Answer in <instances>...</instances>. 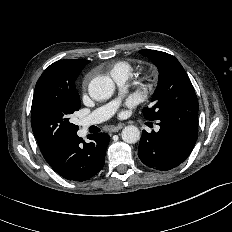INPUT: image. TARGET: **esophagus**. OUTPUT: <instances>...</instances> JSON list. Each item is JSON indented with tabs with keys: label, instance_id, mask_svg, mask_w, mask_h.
Wrapping results in <instances>:
<instances>
[{
	"label": "esophagus",
	"instance_id": "1",
	"mask_svg": "<svg viewBox=\"0 0 232 232\" xmlns=\"http://www.w3.org/2000/svg\"><path fill=\"white\" fill-rule=\"evenodd\" d=\"M123 128V125H118V126H113L110 128V132L115 133L118 132L119 130H121Z\"/></svg>",
	"mask_w": 232,
	"mask_h": 232
}]
</instances>
